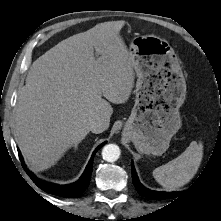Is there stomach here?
Listing matches in <instances>:
<instances>
[{
    "mask_svg": "<svg viewBox=\"0 0 221 221\" xmlns=\"http://www.w3.org/2000/svg\"><path fill=\"white\" fill-rule=\"evenodd\" d=\"M138 77L135 104L123 135L142 154L162 155L181 127L186 81L174 49L154 35L133 38L129 48Z\"/></svg>",
    "mask_w": 221,
    "mask_h": 221,
    "instance_id": "obj_1",
    "label": "stomach"
}]
</instances>
